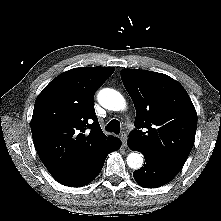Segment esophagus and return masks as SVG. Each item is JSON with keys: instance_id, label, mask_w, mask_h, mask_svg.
Wrapping results in <instances>:
<instances>
[{"instance_id": "esophagus-1", "label": "esophagus", "mask_w": 221, "mask_h": 221, "mask_svg": "<svg viewBox=\"0 0 221 221\" xmlns=\"http://www.w3.org/2000/svg\"><path fill=\"white\" fill-rule=\"evenodd\" d=\"M120 138H121V140H122V144H123V147H127V134H126V132H122L121 134H120Z\"/></svg>"}]
</instances>
